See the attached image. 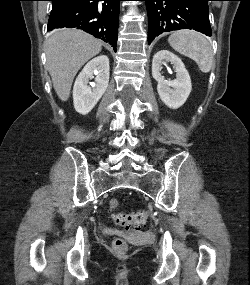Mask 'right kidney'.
<instances>
[{
  "label": "right kidney",
  "mask_w": 250,
  "mask_h": 285,
  "mask_svg": "<svg viewBox=\"0 0 250 285\" xmlns=\"http://www.w3.org/2000/svg\"><path fill=\"white\" fill-rule=\"evenodd\" d=\"M109 59L106 55H100L89 61L80 72L73 87V102L75 110L83 115L88 114L102 95L109 83ZM95 82L88 85L89 80Z\"/></svg>",
  "instance_id": "obj_1"
}]
</instances>
